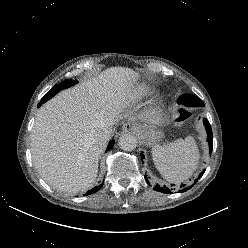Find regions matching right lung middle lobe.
<instances>
[{
    "instance_id": "dd1d6c3e",
    "label": "right lung middle lobe",
    "mask_w": 248,
    "mask_h": 248,
    "mask_svg": "<svg viewBox=\"0 0 248 248\" xmlns=\"http://www.w3.org/2000/svg\"><path fill=\"white\" fill-rule=\"evenodd\" d=\"M76 80H64L63 82L55 85L42 99L41 102L44 103L48 99L52 98L55 94H57L60 90L68 88L74 84H77Z\"/></svg>"
}]
</instances>
